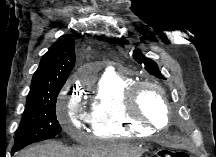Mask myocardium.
I'll return each mask as SVG.
<instances>
[{"label": "myocardium", "mask_w": 216, "mask_h": 157, "mask_svg": "<svg viewBox=\"0 0 216 157\" xmlns=\"http://www.w3.org/2000/svg\"><path fill=\"white\" fill-rule=\"evenodd\" d=\"M145 88H151L158 92L161 103L166 113V121L164 125H157L151 118H149L148 116H146L140 111L138 106V100L142 90ZM124 105H125L126 113L128 114L129 117H131L137 122L149 125L152 128L161 129L163 127H166L170 122L171 113L167 102L166 92L157 83L150 82V81L135 82L131 87L128 88L126 92Z\"/></svg>", "instance_id": "1"}]
</instances>
